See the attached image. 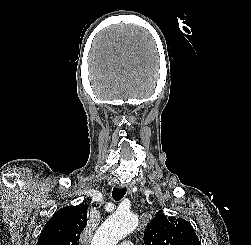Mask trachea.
Listing matches in <instances>:
<instances>
[{"label": "trachea", "instance_id": "1", "mask_svg": "<svg viewBox=\"0 0 251 245\" xmlns=\"http://www.w3.org/2000/svg\"><path fill=\"white\" fill-rule=\"evenodd\" d=\"M126 194V188H116L114 187L112 191V197L115 201L121 200Z\"/></svg>", "mask_w": 251, "mask_h": 245}]
</instances>
